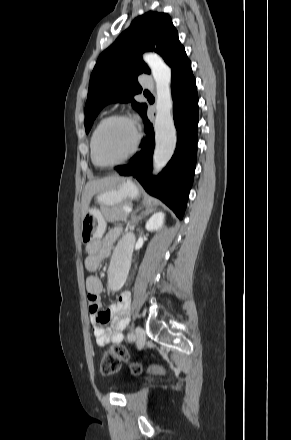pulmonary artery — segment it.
Wrapping results in <instances>:
<instances>
[{"mask_svg":"<svg viewBox=\"0 0 291 440\" xmlns=\"http://www.w3.org/2000/svg\"><path fill=\"white\" fill-rule=\"evenodd\" d=\"M140 83L144 86H147V87L153 89V82L151 81V78L148 74H141L140 75Z\"/></svg>","mask_w":291,"mask_h":440,"instance_id":"pulmonary-artery-1","label":"pulmonary artery"}]
</instances>
